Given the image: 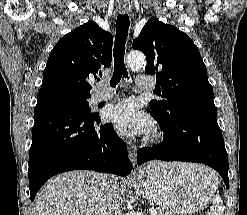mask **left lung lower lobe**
Segmentation results:
<instances>
[{"label": "left lung lower lobe", "mask_w": 247, "mask_h": 215, "mask_svg": "<svg viewBox=\"0 0 247 215\" xmlns=\"http://www.w3.org/2000/svg\"><path fill=\"white\" fill-rule=\"evenodd\" d=\"M151 115L164 131V141L139 149L138 164L150 160L203 163L214 168L229 187L228 155L217 115L182 114L170 122L159 118L153 111Z\"/></svg>", "instance_id": "0a47b994"}]
</instances>
